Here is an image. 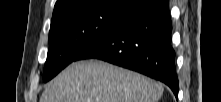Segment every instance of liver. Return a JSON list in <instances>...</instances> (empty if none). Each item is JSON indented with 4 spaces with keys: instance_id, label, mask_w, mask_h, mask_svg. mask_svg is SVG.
<instances>
[{
    "instance_id": "obj_1",
    "label": "liver",
    "mask_w": 221,
    "mask_h": 102,
    "mask_svg": "<svg viewBox=\"0 0 221 102\" xmlns=\"http://www.w3.org/2000/svg\"><path fill=\"white\" fill-rule=\"evenodd\" d=\"M163 86L99 60L72 63L56 76L40 102H158Z\"/></svg>"
}]
</instances>
